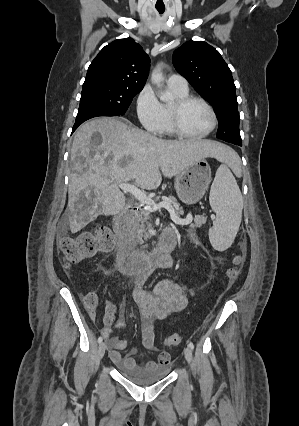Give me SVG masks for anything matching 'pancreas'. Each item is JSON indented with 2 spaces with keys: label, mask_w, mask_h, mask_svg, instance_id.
I'll use <instances>...</instances> for the list:
<instances>
[{
  "label": "pancreas",
  "mask_w": 299,
  "mask_h": 426,
  "mask_svg": "<svg viewBox=\"0 0 299 426\" xmlns=\"http://www.w3.org/2000/svg\"><path fill=\"white\" fill-rule=\"evenodd\" d=\"M166 201L175 202V198L170 196ZM174 208L177 215H181L183 213L177 204H175ZM150 214V210L140 208V210L136 211L132 216L131 227L134 234L136 235V241L139 244H143V238L147 240L151 237V234L147 232V229L151 227V224L149 223L151 218ZM205 223L206 218L204 216L197 215L194 218V223L190 225V228L187 230V232L192 236L195 234V228L202 227Z\"/></svg>",
  "instance_id": "obj_1"
}]
</instances>
